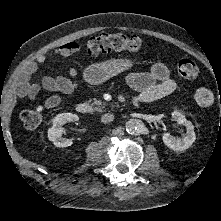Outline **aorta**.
I'll list each match as a JSON object with an SVG mask.
<instances>
[{"label": "aorta", "mask_w": 221, "mask_h": 221, "mask_svg": "<svg viewBox=\"0 0 221 221\" xmlns=\"http://www.w3.org/2000/svg\"><path fill=\"white\" fill-rule=\"evenodd\" d=\"M126 131L130 134L139 135L144 131V123L139 119H129L126 124Z\"/></svg>", "instance_id": "1"}]
</instances>
